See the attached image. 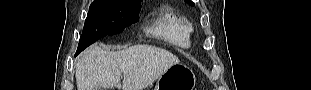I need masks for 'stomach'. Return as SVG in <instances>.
Returning a JSON list of instances; mask_svg holds the SVG:
<instances>
[{
    "mask_svg": "<svg viewBox=\"0 0 311 90\" xmlns=\"http://www.w3.org/2000/svg\"><path fill=\"white\" fill-rule=\"evenodd\" d=\"M195 82V75L190 68L175 64L157 79L154 90H194Z\"/></svg>",
    "mask_w": 311,
    "mask_h": 90,
    "instance_id": "1",
    "label": "stomach"
}]
</instances>
